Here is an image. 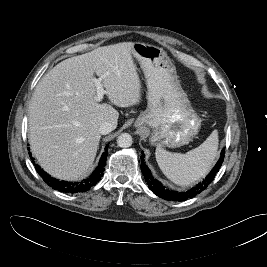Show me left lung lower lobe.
<instances>
[{
  "instance_id": "obj_1",
  "label": "left lung lower lobe",
  "mask_w": 267,
  "mask_h": 267,
  "mask_svg": "<svg viewBox=\"0 0 267 267\" xmlns=\"http://www.w3.org/2000/svg\"><path fill=\"white\" fill-rule=\"evenodd\" d=\"M224 153L225 151L222 150L220 159L218 160L213 170L209 173V175L196 187H193L190 190L185 191V192H176V191L169 190L165 186H163L158 180L154 179L148 167L144 163L143 154L141 155V159H142L141 170L145 177V181L147 182L149 186V189L152 190L155 195L166 200L184 201L188 198L194 197L197 194H199L212 182L216 173L219 171V168L221 167L223 163Z\"/></svg>"
}]
</instances>
